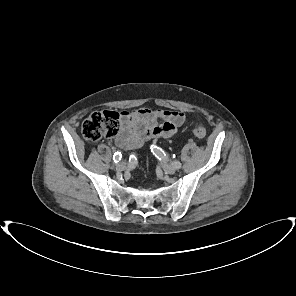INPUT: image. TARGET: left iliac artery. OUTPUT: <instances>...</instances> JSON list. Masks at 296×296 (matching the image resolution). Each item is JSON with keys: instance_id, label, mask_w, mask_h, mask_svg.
<instances>
[{"instance_id": "1", "label": "left iliac artery", "mask_w": 296, "mask_h": 296, "mask_svg": "<svg viewBox=\"0 0 296 296\" xmlns=\"http://www.w3.org/2000/svg\"><path fill=\"white\" fill-rule=\"evenodd\" d=\"M151 151L153 152V154L159 158V159H162L164 156H165V153L162 151V149H160L159 147L155 146V145H151ZM172 165L174 167H176L177 169L181 168V163L179 161H174L172 163Z\"/></svg>"}]
</instances>
